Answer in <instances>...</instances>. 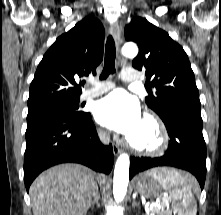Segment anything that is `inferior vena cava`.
<instances>
[{"mask_svg": "<svg viewBox=\"0 0 221 215\" xmlns=\"http://www.w3.org/2000/svg\"><path fill=\"white\" fill-rule=\"evenodd\" d=\"M99 137H100V140L104 143V144H109L110 142V135L108 133H105V132H100L99 133ZM98 192V191H97ZM96 195V194H95ZM94 195V197H95Z\"/></svg>", "mask_w": 221, "mask_h": 215, "instance_id": "1", "label": "inferior vena cava"}]
</instances>
